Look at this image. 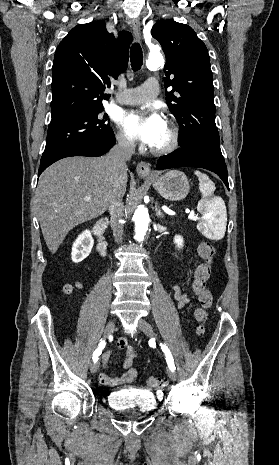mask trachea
<instances>
[{
  "mask_svg": "<svg viewBox=\"0 0 279 465\" xmlns=\"http://www.w3.org/2000/svg\"><path fill=\"white\" fill-rule=\"evenodd\" d=\"M130 61L134 71H138L143 64V54L139 43H134L130 49Z\"/></svg>",
  "mask_w": 279,
  "mask_h": 465,
  "instance_id": "1",
  "label": "trachea"
}]
</instances>
